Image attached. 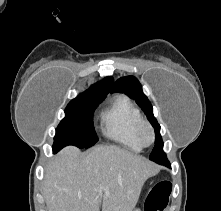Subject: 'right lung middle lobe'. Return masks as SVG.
Here are the masks:
<instances>
[{
    "mask_svg": "<svg viewBox=\"0 0 221 211\" xmlns=\"http://www.w3.org/2000/svg\"><path fill=\"white\" fill-rule=\"evenodd\" d=\"M105 97H81L70 101L65 109V118L56 128L54 152L67 145H75L81 149L89 148L98 141L92 116L95 108Z\"/></svg>",
    "mask_w": 221,
    "mask_h": 211,
    "instance_id": "1",
    "label": "right lung middle lobe"
}]
</instances>
